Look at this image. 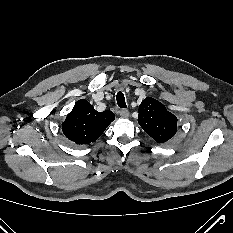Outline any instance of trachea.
<instances>
[{"instance_id": "trachea-1", "label": "trachea", "mask_w": 233, "mask_h": 233, "mask_svg": "<svg viewBox=\"0 0 233 233\" xmlns=\"http://www.w3.org/2000/svg\"><path fill=\"white\" fill-rule=\"evenodd\" d=\"M117 104L120 108H126L125 97L122 92H118L116 95Z\"/></svg>"}]
</instances>
